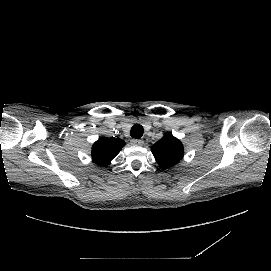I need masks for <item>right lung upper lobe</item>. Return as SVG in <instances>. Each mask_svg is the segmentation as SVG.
Here are the masks:
<instances>
[{
	"label": "right lung upper lobe",
	"instance_id": "right-lung-upper-lobe-1",
	"mask_svg": "<svg viewBox=\"0 0 271 271\" xmlns=\"http://www.w3.org/2000/svg\"><path fill=\"white\" fill-rule=\"evenodd\" d=\"M125 142L116 138H101L92 148V158L97 164L106 166L124 147Z\"/></svg>",
	"mask_w": 271,
	"mask_h": 271
}]
</instances>
